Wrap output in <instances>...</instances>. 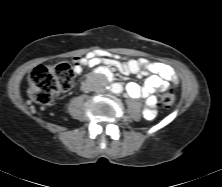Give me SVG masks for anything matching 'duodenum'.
Here are the masks:
<instances>
[{
	"instance_id": "1",
	"label": "duodenum",
	"mask_w": 222,
	"mask_h": 187,
	"mask_svg": "<svg viewBox=\"0 0 222 187\" xmlns=\"http://www.w3.org/2000/svg\"><path fill=\"white\" fill-rule=\"evenodd\" d=\"M106 74L109 76V77H111V74H110V72H106Z\"/></svg>"
}]
</instances>
